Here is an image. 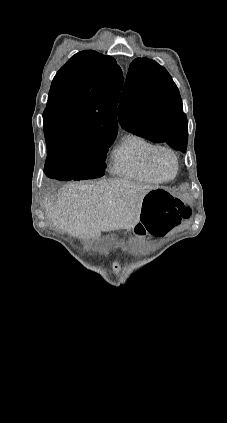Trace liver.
I'll return each mask as SVG.
<instances>
[{
  "mask_svg": "<svg viewBox=\"0 0 227 423\" xmlns=\"http://www.w3.org/2000/svg\"><path fill=\"white\" fill-rule=\"evenodd\" d=\"M155 186L131 180H108L96 184L72 182L64 186L55 202H45L52 225L75 237L98 239L101 231L132 229L139 221L143 200Z\"/></svg>",
  "mask_w": 227,
  "mask_h": 423,
  "instance_id": "obj_1",
  "label": "liver"
}]
</instances>
